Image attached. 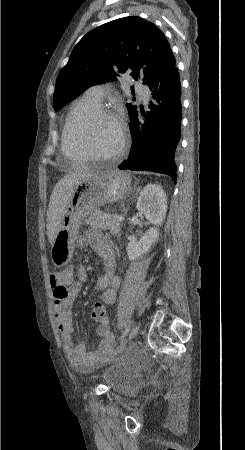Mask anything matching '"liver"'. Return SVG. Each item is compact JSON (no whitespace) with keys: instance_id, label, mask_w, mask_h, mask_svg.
<instances>
[{"instance_id":"1","label":"liver","mask_w":245,"mask_h":450,"mask_svg":"<svg viewBox=\"0 0 245 450\" xmlns=\"http://www.w3.org/2000/svg\"><path fill=\"white\" fill-rule=\"evenodd\" d=\"M95 171V169L90 168L73 171L56 183L47 210V237L51 245L55 240L59 224L75 185L82 179L94 174Z\"/></svg>"}]
</instances>
